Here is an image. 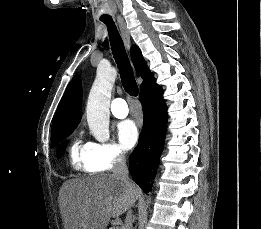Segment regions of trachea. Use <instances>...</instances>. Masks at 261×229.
I'll use <instances>...</instances> for the list:
<instances>
[{
    "label": "trachea",
    "mask_w": 261,
    "mask_h": 229,
    "mask_svg": "<svg viewBox=\"0 0 261 229\" xmlns=\"http://www.w3.org/2000/svg\"><path fill=\"white\" fill-rule=\"evenodd\" d=\"M100 20L107 25L112 54L118 66L124 90L132 97H136L139 89L122 38L111 17H101Z\"/></svg>",
    "instance_id": "3493384b"
}]
</instances>
